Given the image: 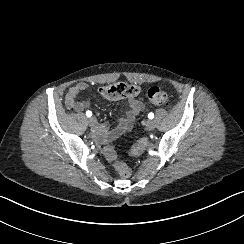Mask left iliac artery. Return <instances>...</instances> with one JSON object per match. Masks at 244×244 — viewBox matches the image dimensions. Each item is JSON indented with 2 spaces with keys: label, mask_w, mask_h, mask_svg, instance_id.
I'll use <instances>...</instances> for the list:
<instances>
[{
  "label": "left iliac artery",
  "mask_w": 244,
  "mask_h": 244,
  "mask_svg": "<svg viewBox=\"0 0 244 244\" xmlns=\"http://www.w3.org/2000/svg\"><path fill=\"white\" fill-rule=\"evenodd\" d=\"M148 118H149V119H153V118H154V114H153L152 112L149 113V114H148Z\"/></svg>",
  "instance_id": "obj_1"
}]
</instances>
